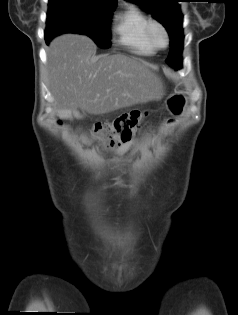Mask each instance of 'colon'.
<instances>
[{"label":"colon","mask_w":238,"mask_h":315,"mask_svg":"<svg viewBox=\"0 0 238 315\" xmlns=\"http://www.w3.org/2000/svg\"><path fill=\"white\" fill-rule=\"evenodd\" d=\"M146 113L144 111H131L124 113L112 122L95 124L93 136L106 147L120 146L130 140L143 126Z\"/></svg>","instance_id":"1"}]
</instances>
